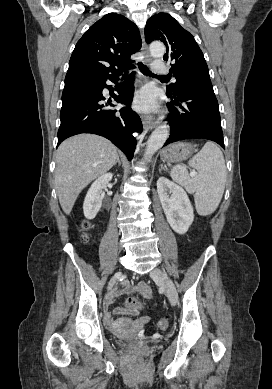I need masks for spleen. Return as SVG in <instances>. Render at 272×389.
I'll return each mask as SVG.
<instances>
[{"label":"spleen","mask_w":272,"mask_h":389,"mask_svg":"<svg viewBox=\"0 0 272 389\" xmlns=\"http://www.w3.org/2000/svg\"><path fill=\"white\" fill-rule=\"evenodd\" d=\"M189 166L197 170L195 177L189 176L186 165L174 166L170 176L189 193H195L199 215H210L219 206L225 189L227 171L224 156L215 143L207 142L189 161Z\"/></svg>","instance_id":"spleen-1"}]
</instances>
